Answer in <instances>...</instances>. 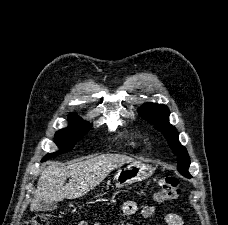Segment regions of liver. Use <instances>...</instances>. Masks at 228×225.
<instances>
[{
    "mask_svg": "<svg viewBox=\"0 0 228 225\" xmlns=\"http://www.w3.org/2000/svg\"><path fill=\"white\" fill-rule=\"evenodd\" d=\"M133 161L134 159L125 155H100L82 163H67L66 167L48 163V167L40 173L30 211H39L41 201L49 203L63 199H79L98 187L111 171ZM67 177L71 179L65 185Z\"/></svg>",
    "mask_w": 228,
    "mask_h": 225,
    "instance_id": "1",
    "label": "liver"
}]
</instances>
